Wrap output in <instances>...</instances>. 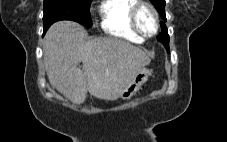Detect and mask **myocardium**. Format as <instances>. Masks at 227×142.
<instances>
[{
    "label": "myocardium",
    "mask_w": 227,
    "mask_h": 142,
    "mask_svg": "<svg viewBox=\"0 0 227 142\" xmlns=\"http://www.w3.org/2000/svg\"><path fill=\"white\" fill-rule=\"evenodd\" d=\"M143 9H148L153 17H154V21H155V30L153 33L151 34H146L142 28L140 27L139 24V14ZM130 22H131V26L133 28V30L142 38H152L154 37L160 28V20H159V14L156 10V8L148 3V2H144V1H139L136 5L133 6V8L130 11Z\"/></svg>",
    "instance_id": "f54148a6"
}]
</instances>
